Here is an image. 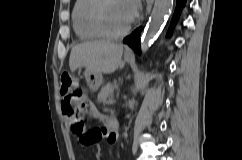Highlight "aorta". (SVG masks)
<instances>
[{"label": "aorta", "instance_id": "aorta-1", "mask_svg": "<svg viewBox=\"0 0 242 160\" xmlns=\"http://www.w3.org/2000/svg\"><path fill=\"white\" fill-rule=\"evenodd\" d=\"M173 7V0H155L149 21L141 37V50L145 52Z\"/></svg>", "mask_w": 242, "mask_h": 160}]
</instances>
